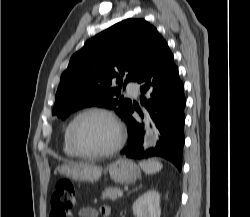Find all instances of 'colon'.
<instances>
[{"label": "colon", "instance_id": "1", "mask_svg": "<svg viewBox=\"0 0 250 217\" xmlns=\"http://www.w3.org/2000/svg\"><path fill=\"white\" fill-rule=\"evenodd\" d=\"M77 205L76 190L71 181L62 179L54 187L50 217H69Z\"/></svg>", "mask_w": 250, "mask_h": 217}]
</instances>
